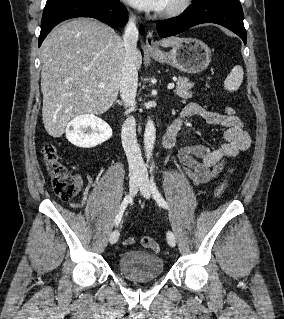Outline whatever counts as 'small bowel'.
I'll use <instances>...</instances> for the list:
<instances>
[{
  "label": "small bowel",
  "mask_w": 284,
  "mask_h": 319,
  "mask_svg": "<svg viewBox=\"0 0 284 319\" xmlns=\"http://www.w3.org/2000/svg\"><path fill=\"white\" fill-rule=\"evenodd\" d=\"M199 116L209 124L226 127L223 142L211 149L203 144L183 146L178 152L181 172L195 185L211 182L223 170L226 159L247 150L251 144L250 134L244 130L242 120L237 116H227L209 111L196 103H189L175 122L179 132L186 118Z\"/></svg>",
  "instance_id": "obj_1"
}]
</instances>
